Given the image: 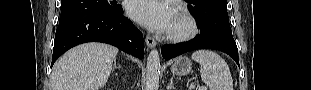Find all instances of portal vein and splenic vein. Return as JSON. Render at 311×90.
<instances>
[{
  "label": "portal vein and splenic vein",
  "mask_w": 311,
  "mask_h": 90,
  "mask_svg": "<svg viewBox=\"0 0 311 90\" xmlns=\"http://www.w3.org/2000/svg\"><path fill=\"white\" fill-rule=\"evenodd\" d=\"M200 90H206L207 88L205 86L199 87Z\"/></svg>",
  "instance_id": "18ae733b"
}]
</instances>
